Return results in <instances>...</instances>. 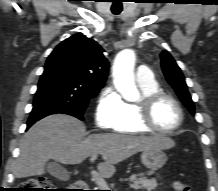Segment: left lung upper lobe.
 <instances>
[{"instance_id": "left-lung-upper-lobe-1", "label": "left lung upper lobe", "mask_w": 218, "mask_h": 191, "mask_svg": "<svg viewBox=\"0 0 218 191\" xmlns=\"http://www.w3.org/2000/svg\"><path fill=\"white\" fill-rule=\"evenodd\" d=\"M161 66L167 81L180 97L183 104L194 115L195 107L188 92L185 78L175 60L167 51H163L161 54Z\"/></svg>"}]
</instances>
